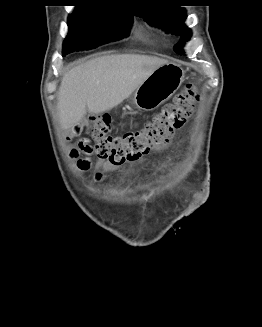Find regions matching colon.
<instances>
[{
  "label": "colon",
  "instance_id": "obj_1",
  "mask_svg": "<svg viewBox=\"0 0 262 327\" xmlns=\"http://www.w3.org/2000/svg\"><path fill=\"white\" fill-rule=\"evenodd\" d=\"M198 100L196 86L188 84L142 129L117 136L111 134V119L108 115H91L86 124L90 139L82 140L79 149L114 166L136 161L151 149L169 141L191 117Z\"/></svg>",
  "mask_w": 262,
  "mask_h": 327
}]
</instances>
